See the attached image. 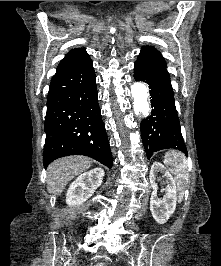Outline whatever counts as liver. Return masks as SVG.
Here are the masks:
<instances>
[{
    "mask_svg": "<svg viewBox=\"0 0 221 266\" xmlns=\"http://www.w3.org/2000/svg\"><path fill=\"white\" fill-rule=\"evenodd\" d=\"M92 160L83 156L58 159L47 168V191L60 195L66 185L77 175L90 168Z\"/></svg>",
    "mask_w": 221,
    "mask_h": 266,
    "instance_id": "liver-1",
    "label": "liver"
}]
</instances>
